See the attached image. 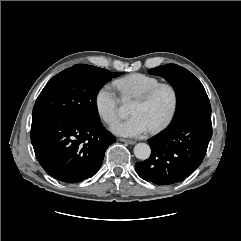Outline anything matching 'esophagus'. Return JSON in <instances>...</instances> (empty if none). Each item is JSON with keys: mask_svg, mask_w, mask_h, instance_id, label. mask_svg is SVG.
Here are the masks:
<instances>
[{"mask_svg": "<svg viewBox=\"0 0 241 241\" xmlns=\"http://www.w3.org/2000/svg\"><path fill=\"white\" fill-rule=\"evenodd\" d=\"M120 141L125 142V143H128V144H131V145H133V144L136 143L135 140L124 139V138H121Z\"/></svg>", "mask_w": 241, "mask_h": 241, "instance_id": "esophagus-1", "label": "esophagus"}]
</instances>
